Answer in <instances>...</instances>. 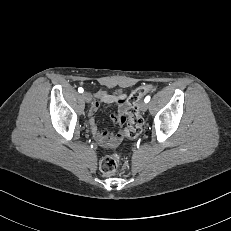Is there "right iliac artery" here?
<instances>
[{
    "mask_svg": "<svg viewBox=\"0 0 231 231\" xmlns=\"http://www.w3.org/2000/svg\"><path fill=\"white\" fill-rule=\"evenodd\" d=\"M78 91H79V93H83L84 90H83V88L80 87V88H78Z\"/></svg>",
    "mask_w": 231,
    "mask_h": 231,
    "instance_id": "obj_1",
    "label": "right iliac artery"
}]
</instances>
